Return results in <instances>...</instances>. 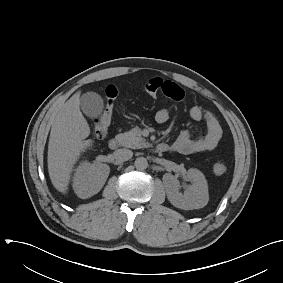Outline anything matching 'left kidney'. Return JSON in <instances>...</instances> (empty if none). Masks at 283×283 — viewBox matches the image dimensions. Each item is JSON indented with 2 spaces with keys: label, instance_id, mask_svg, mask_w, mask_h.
Here are the masks:
<instances>
[{
  "label": "left kidney",
  "instance_id": "1",
  "mask_svg": "<svg viewBox=\"0 0 283 283\" xmlns=\"http://www.w3.org/2000/svg\"><path fill=\"white\" fill-rule=\"evenodd\" d=\"M186 177L192 184L182 194L179 192V181L173 175H164L163 181L168 200L175 207L184 210L203 208L209 201L205 176L201 171L191 168L186 172Z\"/></svg>",
  "mask_w": 283,
  "mask_h": 283
}]
</instances>
